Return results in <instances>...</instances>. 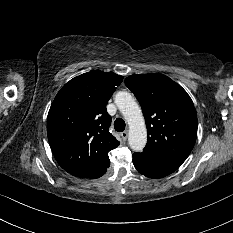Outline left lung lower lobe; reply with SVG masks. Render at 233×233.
<instances>
[{"instance_id":"left-lung-lower-lobe-1","label":"left lung lower lobe","mask_w":233,"mask_h":233,"mask_svg":"<svg viewBox=\"0 0 233 233\" xmlns=\"http://www.w3.org/2000/svg\"><path fill=\"white\" fill-rule=\"evenodd\" d=\"M133 164L139 173L149 178L165 177L177 170L181 165L144 152L133 154Z\"/></svg>"}]
</instances>
